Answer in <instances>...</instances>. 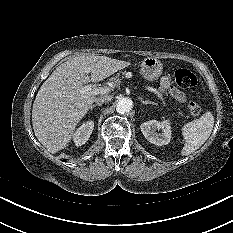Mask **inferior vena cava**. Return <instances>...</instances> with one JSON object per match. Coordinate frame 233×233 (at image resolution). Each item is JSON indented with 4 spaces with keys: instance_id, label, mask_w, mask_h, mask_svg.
<instances>
[{
    "instance_id": "602c4592",
    "label": "inferior vena cava",
    "mask_w": 233,
    "mask_h": 233,
    "mask_svg": "<svg viewBox=\"0 0 233 233\" xmlns=\"http://www.w3.org/2000/svg\"><path fill=\"white\" fill-rule=\"evenodd\" d=\"M111 100V96H108V95H102L98 98L95 99V103L97 105H102L104 102H108Z\"/></svg>"
}]
</instances>
